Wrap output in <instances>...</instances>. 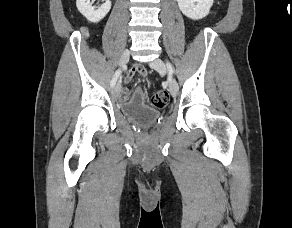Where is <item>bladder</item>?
I'll return each mask as SVG.
<instances>
[{
  "instance_id": "bladder-1",
  "label": "bladder",
  "mask_w": 292,
  "mask_h": 228,
  "mask_svg": "<svg viewBox=\"0 0 292 228\" xmlns=\"http://www.w3.org/2000/svg\"><path fill=\"white\" fill-rule=\"evenodd\" d=\"M123 115L136 123H150L159 117V112L147 105L126 103L121 108Z\"/></svg>"
}]
</instances>
